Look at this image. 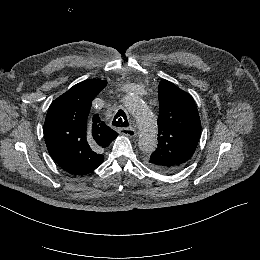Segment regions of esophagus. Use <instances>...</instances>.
<instances>
[{
    "label": "esophagus",
    "instance_id": "esophagus-1",
    "mask_svg": "<svg viewBox=\"0 0 260 260\" xmlns=\"http://www.w3.org/2000/svg\"><path fill=\"white\" fill-rule=\"evenodd\" d=\"M119 133L128 137L136 136V130L132 127H123L119 129Z\"/></svg>",
    "mask_w": 260,
    "mask_h": 260
}]
</instances>
